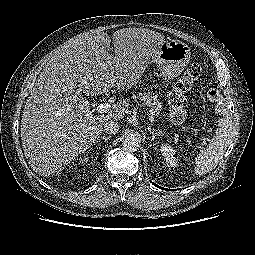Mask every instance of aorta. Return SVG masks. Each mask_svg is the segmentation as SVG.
I'll use <instances>...</instances> for the list:
<instances>
[{"label":"aorta","mask_w":255,"mask_h":255,"mask_svg":"<svg viewBox=\"0 0 255 255\" xmlns=\"http://www.w3.org/2000/svg\"><path fill=\"white\" fill-rule=\"evenodd\" d=\"M124 150L129 152H135L140 146V141L135 135H128L122 141Z\"/></svg>","instance_id":"aorta-1"}]
</instances>
